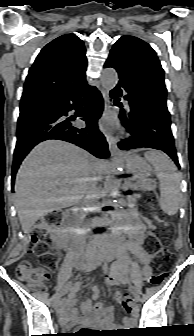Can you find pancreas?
<instances>
[{"label": "pancreas", "mask_w": 194, "mask_h": 336, "mask_svg": "<svg viewBox=\"0 0 194 336\" xmlns=\"http://www.w3.org/2000/svg\"><path fill=\"white\" fill-rule=\"evenodd\" d=\"M130 188L133 190H141V191H151V182L147 178H137L135 183H132L129 185ZM137 201V198L134 197H129L128 198V209L131 211H134L136 209V206L134 205Z\"/></svg>", "instance_id": "obj_1"}]
</instances>
